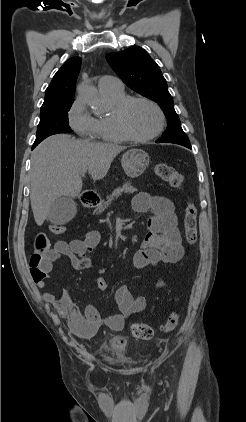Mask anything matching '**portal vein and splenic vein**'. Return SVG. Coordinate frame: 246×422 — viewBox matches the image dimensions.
<instances>
[{
    "instance_id": "18ae733b",
    "label": "portal vein and splenic vein",
    "mask_w": 246,
    "mask_h": 422,
    "mask_svg": "<svg viewBox=\"0 0 246 422\" xmlns=\"http://www.w3.org/2000/svg\"><path fill=\"white\" fill-rule=\"evenodd\" d=\"M85 173H86V170H83V171L81 172V175H82V176H84V175H85Z\"/></svg>"
}]
</instances>
